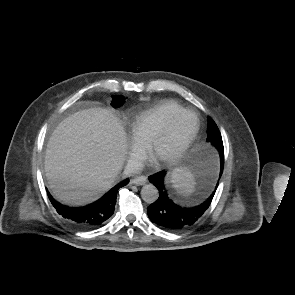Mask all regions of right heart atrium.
Masks as SVG:
<instances>
[{
	"instance_id": "1",
	"label": "right heart atrium",
	"mask_w": 295,
	"mask_h": 295,
	"mask_svg": "<svg viewBox=\"0 0 295 295\" xmlns=\"http://www.w3.org/2000/svg\"><path fill=\"white\" fill-rule=\"evenodd\" d=\"M145 149L140 143L134 139L131 142L129 150L128 164L131 168H138L144 159Z\"/></svg>"
}]
</instances>
